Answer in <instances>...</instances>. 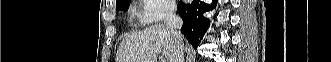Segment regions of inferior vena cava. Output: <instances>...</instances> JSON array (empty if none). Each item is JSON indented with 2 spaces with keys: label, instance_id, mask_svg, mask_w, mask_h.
I'll list each match as a JSON object with an SVG mask.
<instances>
[{
  "label": "inferior vena cava",
  "instance_id": "obj_1",
  "mask_svg": "<svg viewBox=\"0 0 331 62\" xmlns=\"http://www.w3.org/2000/svg\"><path fill=\"white\" fill-rule=\"evenodd\" d=\"M166 27L172 34L175 45V62H184V43L179 30L182 27V19L175 14V6H170L164 20Z\"/></svg>",
  "mask_w": 331,
  "mask_h": 62
}]
</instances>
